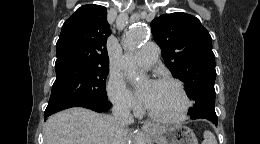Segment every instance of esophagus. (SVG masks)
I'll use <instances>...</instances> for the list:
<instances>
[{"label": "esophagus", "instance_id": "obj_1", "mask_svg": "<svg viewBox=\"0 0 260 144\" xmlns=\"http://www.w3.org/2000/svg\"><path fill=\"white\" fill-rule=\"evenodd\" d=\"M143 130L144 131H152V130H155V127L150 122H145L143 124Z\"/></svg>", "mask_w": 260, "mask_h": 144}]
</instances>
